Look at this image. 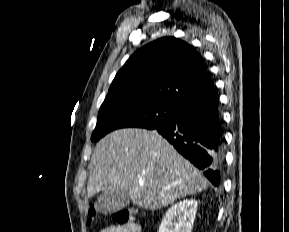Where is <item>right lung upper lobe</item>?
Segmentation results:
<instances>
[{
    "label": "right lung upper lobe",
    "mask_w": 289,
    "mask_h": 232,
    "mask_svg": "<svg viewBox=\"0 0 289 232\" xmlns=\"http://www.w3.org/2000/svg\"><path fill=\"white\" fill-rule=\"evenodd\" d=\"M128 96L176 108L218 97L201 55L175 37L141 47L118 71L106 99Z\"/></svg>",
    "instance_id": "1"
}]
</instances>
